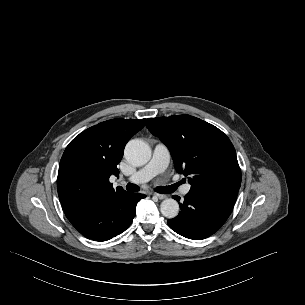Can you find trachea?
Segmentation results:
<instances>
[{
	"instance_id": "trachea-1",
	"label": "trachea",
	"mask_w": 305,
	"mask_h": 305,
	"mask_svg": "<svg viewBox=\"0 0 305 305\" xmlns=\"http://www.w3.org/2000/svg\"><path fill=\"white\" fill-rule=\"evenodd\" d=\"M179 184L180 183H176L171 186H160V187L155 188V191L158 193H161V194H169V193L174 192L177 189V187L179 186ZM126 190L128 192H137L140 190V188L136 184L128 183L126 185Z\"/></svg>"
}]
</instances>
